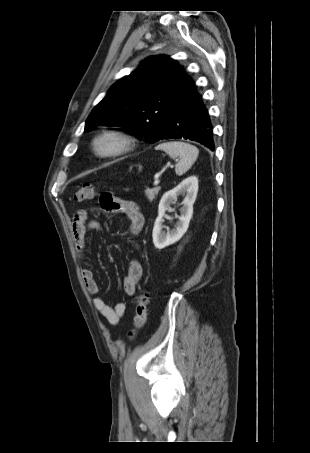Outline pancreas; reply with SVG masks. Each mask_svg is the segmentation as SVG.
<instances>
[{"instance_id": "1", "label": "pancreas", "mask_w": 310, "mask_h": 453, "mask_svg": "<svg viewBox=\"0 0 310 453\" xmlns=\"http://www.w3.org/2000/svg\"><path fill=\"white\" fill-rule=\"evenodd\" d=\"M159 191H160V187H155V188H152V189L147 188L145 190V195L147 196L149 202H152L153 200H155V198L158 195Z\"/></svg>"}]
</instances>
